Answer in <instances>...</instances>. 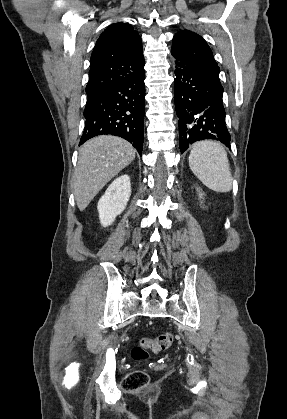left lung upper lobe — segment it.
<instances>
[{"mask_svg": "<svg viewBox=\"0 0 287 419\" xmlns=\"http://www.w3.org/2000/svg\"><path fill=\"white\" fill-rule=\"evenodd\" d=\"M176 65L187 69H219L205 40L191 31H180L173 37L171 49Z\"/></svg>", "mask_w": 287, "mask_h": 419, "instance_id": "1", "label": "left lung upper lobe"}]
</instances>
